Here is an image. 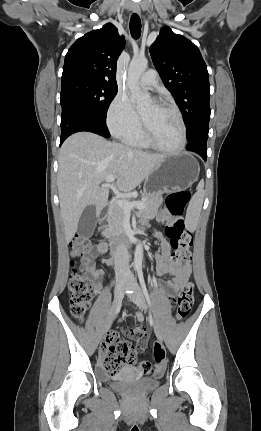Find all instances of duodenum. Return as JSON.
<instances>
[{
	"label": "duodenum",
	"instance_id": "duodenum-1",
	"mask_svg": "<svg viewBox=\"0 0 261 431\" xmlns=\"http://www.w3.org/2000/svg\"><path fill=\"white\" fill-rule=\"evenodd\" d=\"M134 241V231H129L126 233L123 239H117L113 241L110 245V252L112 255H115L118 253V251L127 244H130ZM113 263V260L111 259V264Z\"/></svg>",
	"mask_w": 261,
	"mask_h": 431
}]
</instances>
